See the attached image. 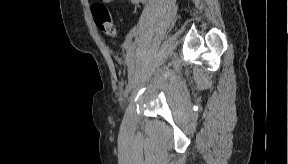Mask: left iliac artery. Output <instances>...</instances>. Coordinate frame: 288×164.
I'll list each match as a JSON object with an SVG mask.
<instances>
[{
    "label": "left iliac artery",
    "mask_w": 288,
    "mask_h": 164,
    "mask_svg": "<svg viewBox=\"0 0 288 164\" xmlns=\"http://www.w3.org/2000/svg\"><path fill=\"white\" fill-rule=\"evenodd\" d=\"M133 75H134V70H133V68H131L129 70L128 77L131 78V77H133Z\"/></svg>",
    "instance_id": "1"
}]
</instances>
